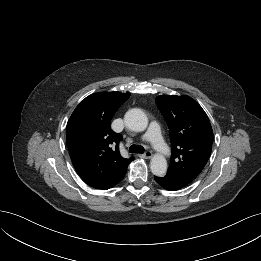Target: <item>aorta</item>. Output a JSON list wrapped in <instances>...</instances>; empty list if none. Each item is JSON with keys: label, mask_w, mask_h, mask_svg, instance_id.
Here are the masks:
<instances>
[{"label": "aorta", "mask_w": 261, "mask_h": 261, "mask_svg": "<svg viewBox=\"0 0 261 261\" xmlns=\"http://www.w3.org/2000/svg\"><path fill=\"white\" fill-rule=\"evenodd\" d=\"M125 125L135 132H142L148 126V118L141 109L133 108L126 112L124 117ZM151 172L156 176H164L167 171V161L163 155L156 154L150 161Z\"/></svg>", "instance_id": "762f6f07"}]
</instances>
